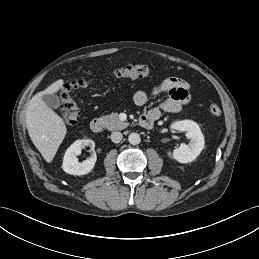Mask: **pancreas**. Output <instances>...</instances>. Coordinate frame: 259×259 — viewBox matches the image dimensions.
Here are the masks:
<instances>
[{
    "instance_id": "cf45deb5",
    "label": "pancreas",
    "mask_w": 259,
    "mask_h": 259,
    "mask_svg": "<svg viewBox=\"0 0 259 259\" xmlns=\"http://www.w3.org/2000/svg\"><path fill=\"white\" fill-rule=\"evenodd\" d=\"M101 118L104 121L106 128L110 131L123 130L129 125V123L121 121L117 113H111L110 115Z\"/></svg>"
}]
</instances>
